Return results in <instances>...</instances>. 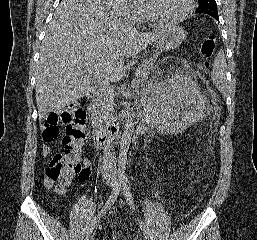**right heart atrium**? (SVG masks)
Here are the masks:
<instances>
[{
	"label": "right heart atrium",
	"instance_id": "d8ad5b80",
	"mask_svg": "<svg viewBox=\"0 0 257 240\" xmlns=\"http://www.w3.org/2000/svg\"><path fill=\"white\" fill-rule=\"evenodd\" d=\"M140 0H109L113 10L126 20L137 23L141 20L144 8Z\"/></svg>",
	"mask_w": 257,
	"mask_h": 240
}]
</instances>
